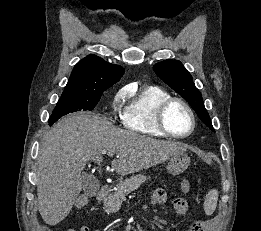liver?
<instances>
[{
  "mask_svg": "<svg viewBox=\"0 0 261 231\" xmlns=\"http://www.w3.org/2000/svg\"><path fill=\"white\" fill-rule=\"evenodd\" d=\"M187 151L180 142L162 141L117 128L91 113L62 118L44 137L38 156V210L48 225L61 222L81 192V172L101 154L116 155L112 168L122 176L150 168Z\"/></svg>",
  "mask_w": 261,
  "mask_h": 231,
  "instance_id": "1",
  "label": "liver"
}]
</instances>
